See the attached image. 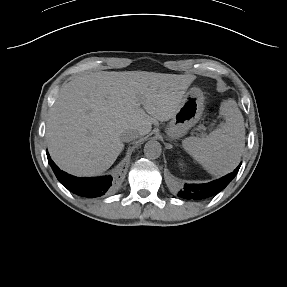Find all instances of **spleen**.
I'll return each instance as SVG.
<instances>
[{"instance_id": "obj_1", "label": "spleen", "mask_w": 287, "mask_h": 287, "mask_svg": "<svg viewBox=\"0 0 287 287\" xmlns=\"http://www.w3.org/2000/svg\"><path fill=\"white\" fill-rule=\"evenodd\" d=\"M220 114L225 122L207 137L193 136L182 141L183 148L214 176L234 170L245 146L244 119L235 102H222Z\"/></svg>"}]
</instances>
